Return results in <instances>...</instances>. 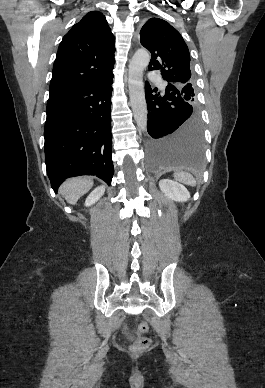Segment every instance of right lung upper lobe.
<instances>
[{
  "mask_svg": "<svg viewBox=\"0 0 265 388\" xmlns=\"http://www.w3.org/2000/svg\"><path fill=\"white\" fill-rule=\"evenodd\" d=\"M115 40L100 12L87 13L59 45L50 96L104 81L113 75Z\"/></svg>",
  "mask_w": 265,
  "mask_h": 388,
  "instance_id": "obj_1",
  "label": "right lung upper lobe"
}]
</instances>
